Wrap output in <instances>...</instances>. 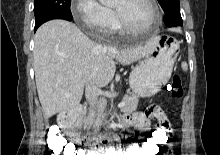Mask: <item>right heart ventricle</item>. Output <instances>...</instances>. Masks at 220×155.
I'll list each match as a JSON object with an SVG mask.
<instances>
[{"instance_id":"obj_1","label":"right heart ventricle","mask_w":220,"mask_h":155,"mask_svg":"<svg viewBox=\"0 0 220 155\" xmlns=\"http://www.w3.org/2000/svg\"><path fill=\"white\" fill-rule=\"evenodd\" d=\"M112 30L114 31H120V25L117 21H115Z\"/></svg>"}]
</instances>
